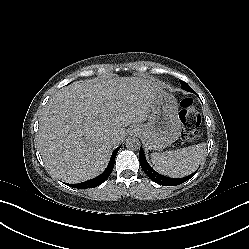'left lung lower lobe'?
Instances as JSON below:
<instances>
[{"label": "left lung lower lobe", "mask_w": 249, "mask_h": 249, "mask_svg": "<svg viewBox=\"0 0 249 249\" xmlns=\"http://www.w3.org/2000/svg\"><path fill=\"white\" fill-rule=\"evenodd\" d=\"M139 161H140V165L142 167V169L144 170V172L156 183L163 185V186H171V185H179L184 183L185 181H187L189 178H191L195 173H193L192 175L186 177V178H181V179H175L176 182H171L174 179L172 178H168L165 176H162L158 173H156L147 163L145 157H144V153L142 148L140 149V153H139Z\"/></svg>", "instance_id": "obj_1"}]
</instances>
